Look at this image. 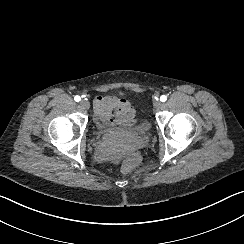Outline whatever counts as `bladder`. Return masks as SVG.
I'll return each instance as SVG.
<instances>
[{
  "instance_id": "31cf9c89",
  "label": "bladder",
  "mask_w": 244,
  "mask_h": 244,
  "mask_svg": "<svg viewBox=\"0 0 244 244\" xmlns=\"http://www.w3.org/2000/svg\"><path fill=\"white\" fill-rule=\"evenodd\" d=\"M132 133H136L139 137H144L150 133L149 120L139 122L133 129Z\"/></svg>"
}]
</instances>
